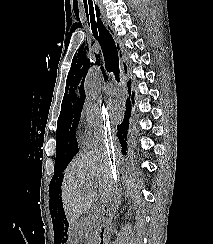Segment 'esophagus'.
I'll return each mask as SVG.
<instances>
[{"instance_id": "1", "label": "esophagus", "mask_w": 213, "mask_h": 244, "mask_svg": "<svg viewBox=\"0 0 213 244\" xmlns=\"http://www.w3.org/2000/svg\"><path fill=\"white\" fill-rule=\"evenodd\" d=\"M118 49H119V54L123 53V47L121 45H118ZM121 68H122V73H123V77H124V82L127 85H129V71L126 69L125 67V61L123 60V58H121Z\"/></svg>"}]
</instances>
